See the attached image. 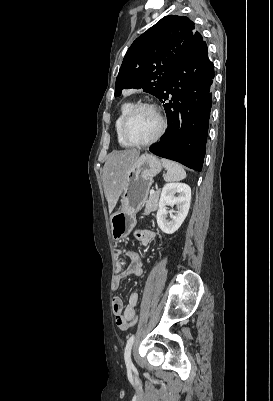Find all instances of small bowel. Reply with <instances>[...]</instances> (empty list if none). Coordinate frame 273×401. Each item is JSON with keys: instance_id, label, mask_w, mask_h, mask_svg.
<instances>
[{"instance_id": "1", "label": "small bowel", "mask_w": 273, "mask_h": 401, "mask_svg": "<svg viewBox=\"0 0 273 401\" xmlns=\"http://www.w3.org/2000/svg\"><path fill=\"white\" fill-rule=\"evenodd\" d=\"M134 236H140L141 230L134 229ZM153 238V231L150 228L145 229L141 243L143 246L150 244ZM115 277L113 280V288L119 289L124 278L128 276H140L143 274V264L140 255L134 250L115 248ZM128 262V265H126ZM139 293L132 292L129 295L128 303L124 306L120 297H115L112 302L113 313L115 315L116 324L120 329H126L136 324L138 320L136 306L139 301Z\"/></svg>"}]
</instances>
